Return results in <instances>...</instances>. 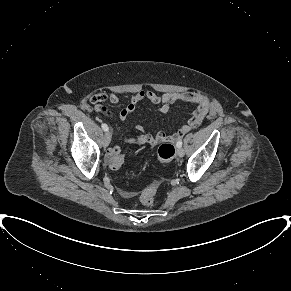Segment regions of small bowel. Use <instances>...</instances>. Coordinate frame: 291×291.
I'll use <instances>...</instances> for the list:
<instances>
[{
    "mask_svg": "<svg viewBox=\"0 0 291 291\" xmlns=\"http://www.w3.org/2000/svg\"><path fill=\"white\" fill-rule=\"evenodd\" d=\"M113 104H117L119 102V98L116 94H111L107 97L105 94H95L91 97V102L96 104L95 111L99 113H107L110 114L109 111L102 105L106 99ZM148 100L151 103L157 106V110L160 113H167L173 103L178 100L192 103L196 105V109L194 110L192 116L188 119V121L174 134L169 135L163 132L158 133L155 136H152L150 133L146 132L144 128L137 124L135 128L142 133L139 136L131 137L126 139V143L128 144H159L163 142H176L182 136H184L187 132L198 127L206 116L209 109V100L201 93L197 92H184V93H164L159 95L150 90H141L136 92L130 99L128 105L122 109L119 114V119L122 123H126L127 119L133 115L136 110L137 105L143 101ZM113 151H120L119 146H114L109 150V154ZM121 195L125 198H130L134 195L131 191H121Z\"/></svg>",
    "mask_w": 291,
    "mask_h": 291,
    "instance_id": "obj_1",
    "label": "small bowel"
}]
</instances>
